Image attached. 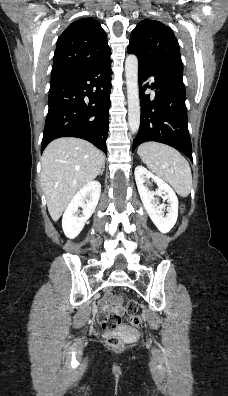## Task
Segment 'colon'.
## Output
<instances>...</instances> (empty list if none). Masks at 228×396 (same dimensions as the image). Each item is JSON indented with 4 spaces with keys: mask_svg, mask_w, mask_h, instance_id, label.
<instances>
[{
    "mask_svg": "<svg viewBox=\"0 0 228 396\" xmlns=\"http://www.w3.org/2000/svg\"><path fill=\"white\" fill-rule=\"evenodd\" d=\"M117 298L120 299L121 295H117ZM139 304L136 300H129L126 304V312L129 317V321L131 325L135 328H140L142 325L141 317L138 314ZM121 323V317L117 314H114L110 317L105 318L102 321V326L106 331L113 332L117 329V327ZM107 343L109 347L112 349H120L124 346L125 340L120 334H112Z\"/></svg>",
    "mask_w": 228,
    "mask_h": 396,
    "instance_id": "5ec220e1",
    "label": "colon"
}]
</instances>
